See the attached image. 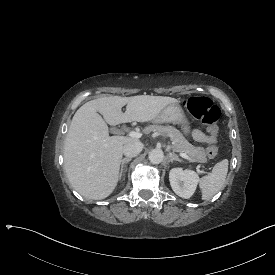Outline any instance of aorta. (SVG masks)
Masks as SVG:
<instances>
[{"mask_svg": "<svg viewBox=\"0 0 275 275\" xmlns=\"http://www.w3.org/2000/svg\"><path fill=\"white\" fill-rule=\"evenodd\" d=\"M163 158H164V153L161 149H153L149 153V160L154 164L162 162Z\"/></svg>", "mask_w": 275, "mask_h": 275, "instance_id": "aorta-1", "label": "aorta"}]
</instances>
